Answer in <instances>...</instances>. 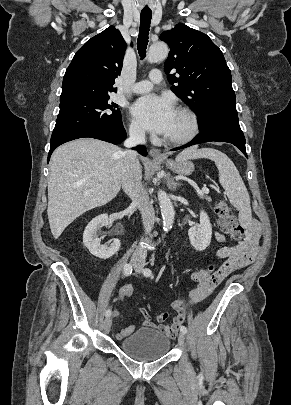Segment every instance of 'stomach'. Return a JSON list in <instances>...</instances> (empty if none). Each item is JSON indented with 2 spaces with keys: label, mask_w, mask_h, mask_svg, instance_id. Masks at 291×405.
Instances as JSON below:
<instances>
[{
  "label": "stomach",
  "mask_w": 291,
  "mask_h": 405,
  "mask_svg": "<svg viewBox=\"0 0 291 405\" xmlns=\"http://www.w3.org/2000/svg\"><path fill=\"white\" fill-rule=\"evenodd\" d=\"M165 164L170 170L179 175L188 176L194 171L193 163L188 160H166Z\"/></svg>",
  "instance_id": "obj_1"
}]
</instances>
